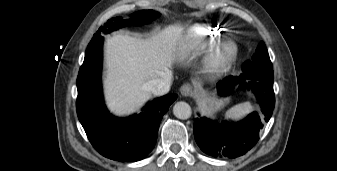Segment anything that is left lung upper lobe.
<instances>
[{"instance_id":"left-lung-upper-lobe-1","label":"left lung upper lobe","mask_w":337,"mask_h":171,"mask_svg":"<svg viewBox=\"0 0 337 171\" xmlns=\"http://www.w3.org/2000/svg\"><path fill=\"white\" fill-rule=\"evenodd\" d=\"M243 72H260L273 74L272 63L263 42H260L251 61H246L242 66Z\"/></svg>"}]
</instances>
